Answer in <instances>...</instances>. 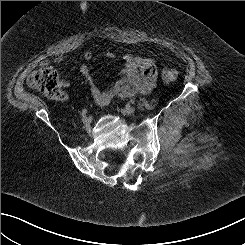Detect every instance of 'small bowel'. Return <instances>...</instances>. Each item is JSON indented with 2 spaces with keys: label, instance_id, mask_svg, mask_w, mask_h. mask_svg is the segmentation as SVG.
<instances>
[{
  "label": "small bowel",
  "instance_id": "1",
  "mask_svg": "<svg viewBox=\"0 0 245 245\" xmlns=\"http://www.w3.org/2000/svg\"><path fill=\"white\" fill-rule=\"evenodd\" d=\"M108 57L113 59L114 54H108ZM84 58L89 60L92 58L90 52L84 54ZM63 56L57 54L53 57L55 63L61 62ZM124 70L119 78L106 90L102 91L95 84L90 70L87 66L82 65L79 69L81 75L85 78L90 86V92L95 102L105 107L114 97L128 98L137 94H149L155 87L157 71L153 60L146 57L126 54L123 57ZM61 86L67 88L69 86L67 81H62ZM59 100H65L66 95L62 92Z\"/></svg>",
  "mask_w": 245,
  "mask_h": 245
}]
</instances>
